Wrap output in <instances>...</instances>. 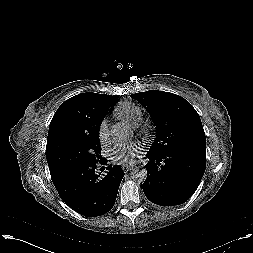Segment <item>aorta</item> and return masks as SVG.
Returning a JSON list of instances; mask_svg holds the SVG:
<instances>
[{
	"instance_id": "obj_1",
	"label": "aorta",
	"mask_w": 253,
	"mask_h": 253,
	"mask_svg": "<svg viewBox=\"0 0 253 253\" xmlns=\"http://www.w3.org/2000/svg\"><path fill=\"white\" fill-rule=\"evenodd\" d=\"M111 136L117 141H125L132 137V131L129 125L117 123L112 126ZM147 177L145 169H136L131 173V178L136 182H143Z\"/></svg>"
}]
</instances>
